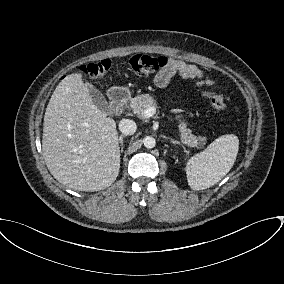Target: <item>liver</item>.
I'll return each instance as SVG.
<instances>
[{"mask_svg": "<svg viewBox=\"0 0 284 284\" xmlns=\"http://www.w3.org/2000/svg\"><path fill=\"white\" fill-rule=\"evenodd\" d=\"M42 151L50 173L73 190H103L119 174L116 122L95 106L80 73L62 79L49 100Z\"/></svg>", "mask_w": 284, "mask_h": 284, "instance_id": "6515ba94", "label": "liver"}]
</instances>
